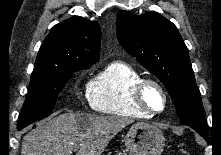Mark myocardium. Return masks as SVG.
I'll use <instances>...</instances> for the list:
<instances>
[{"instance_id":"obj_1","label":"myocardium","mask_w":221,"mask_h":155,"mask_svg":"<svg viewBox=\"0 0 221 155\" xmlns=\"http://www.w3.org/2000/svg\"><path fill=\"white\" fill-rule=\"evenodd\" d=\"M147 86L156 87L162 94L163 107L161 110H153L147 105L144 98V92ZM132 96L136 106L140 110L144 111L145 113L151 116L162 114L167 109L169 103V97L165 87L159 81L152 78H142L140 81H138L133 89Z\"/></svg>"}]
</instances>
